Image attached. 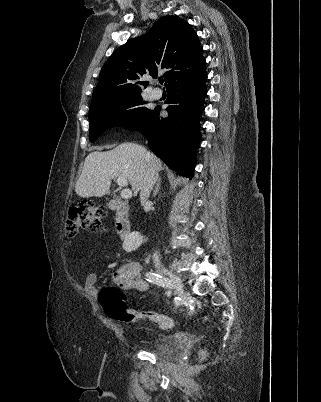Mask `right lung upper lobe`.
<instances>
[{
    "label": "right lung upper lobe",
    "instance_id": "1",
    "mask_svg": "<svg viewBox=\"0 0 321 402\" xmlns=\"http://www.w3.org/2000/svg\"><path fill=\"white\" fill-rule=\"evenodd\" d=\"M203 48L190 24L164 16L143 36L128 40L103 65L90 107L141 93L142 76L164 73L166 86L177 77L206 64Z\"/></svg>",
    "mask_w": 321,
    "mask_h": 402
}]
</instances>
